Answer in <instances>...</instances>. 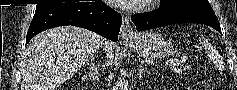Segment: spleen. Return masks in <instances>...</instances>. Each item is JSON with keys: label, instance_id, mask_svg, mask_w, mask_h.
Listing matches in <instances>:
<instances>
[{"label": "spleen", "instance_id": "1", "mask_svg": "<svg viewBox=\"0 0 237 90\" xmlns=\"http://www.w3.org/2000/svg\"><path fill=\"white\" fill-rule=\"evenodd\" d=\"M205 50H208L207 42H206V44H205Z\"/></svg>", "mask_w": 237, "mask_h": 90}]
</instances>
